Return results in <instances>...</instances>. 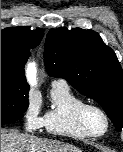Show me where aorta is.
<instances>
[{
	"label": "aorta",
	"mask_w": 123,
	"mask_h": 152,
	"mask_svg": "<svg viewBox=\"0 0 123 152\" xmlns=\"http://www.w3.org/2000/svg\"><path fill=\"white\" fill-rule=\"evenodd\" d=\"M35 74H36L35 64L30 63L28 65V75H29V78L33 84H35Z\"/></svg>",
	"instance_id": "1"
}]
</instances>
